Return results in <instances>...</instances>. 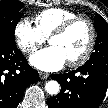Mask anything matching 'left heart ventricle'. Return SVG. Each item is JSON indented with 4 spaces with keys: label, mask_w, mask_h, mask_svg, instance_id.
<instances>
[{
    "label": "left heart ventricle",
    "mask_w": 108,
    "mask_h": 108,
    "mask_svg": "<svg viewBox=\"0 0 108 108\" xmlns=\"http://www.w3.org/2000/svg\"><path fill=\"white\" fill-rule=\"evenodd\" d=\"M89 41V30L84 23L75 24L67 33L49 40L50 45L58 47L67 61L80 56Z\"/></svg>",
    "instance_id": "obj_1"
}]
</instances>
